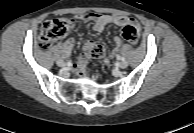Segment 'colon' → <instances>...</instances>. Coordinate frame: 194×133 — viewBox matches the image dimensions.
<instances>
[{"mask_svg": "<svg viewBox=\"0 0 194 133\" xmlns=\"http://www.w3.org/2000/svg\"><path fill=\"white\" fill-rule=\"evenodd\" d=\"M70 28V21L66 18H55L47 20L41 27V35L39 40V47L43 50L49 48V46L56 40L65 36ZM123 38L132 45L138 44V33L132 26H126L122 31ZM104 55V48L99 44H93L89 49V55L83 54L79 57L77 64L75 65V71L77 75L84 76L87 73V62L89 56L92 58H100Z\"/></svg>", "mask_w": 194, "mask_h": 133, "instance_id": "1", "label": "colon"}]
</instances>
